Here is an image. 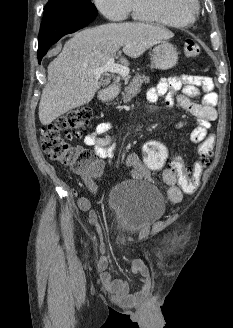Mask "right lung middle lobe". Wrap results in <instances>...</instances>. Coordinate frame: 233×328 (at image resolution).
<instances>
[{
  "label": "right lung middle lobe",
  "mask_w": 233,
  "mask_h": 328,
  "mask_svg": "<svg viewBox=\"0 0 233 328\" xmlns=\"http://www.w3.org/2000/svg\"><path fill=\"white\" fill-rule=\"evenodd\" d=\"M44 11L97 12L91 0H49Z\"/></svg>",
  "instance_id": "1"
}]
</instances>
